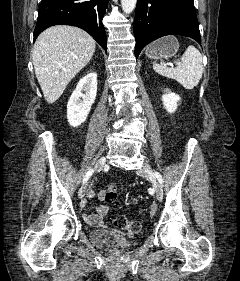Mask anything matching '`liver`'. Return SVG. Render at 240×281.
Returning <instances> with one entry per match:
<instances>
[{
  "label": "liver",
  "instance_id": "6515ba94",
  "mask_svg": "<svg viewBox=\"0 0 240 281\" xmlns=\"http://www.w3.org/2000/svg\"><path fill=\"white\" fill-rule=\"evenodd\" d=\"M95 40L84 30L56 25L43 31L32 49L35 75L48 103L57 101L68 83L91 60Z\"/></svg>",
  "mask_w": 240,
  "mask_h": 281
}]
</instances>
